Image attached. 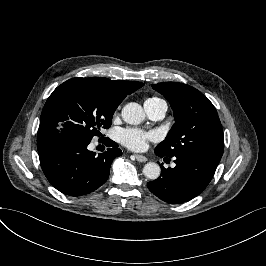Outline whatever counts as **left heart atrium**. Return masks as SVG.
I'll return each mask as SVG.
<instances>
[{"instance_id":"39dd6f15","label":"left heart atrium","mask_w":266,"mask_h":266,"mask_svg":"<svg viewBox=\"0 0 266 266\" xmlns=\"http://www.w3.org/2000/svg\"><path fill=\"white\" fill-rule=\"evenodd\" d=\"M118 140L129 149L135 151L145 150L149 141H154L157 134L154 131L144 132L138 129H120L118 131Z\"/></svg>"}]
</instances>
